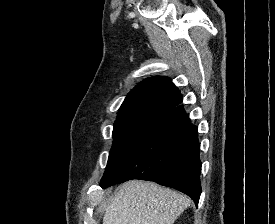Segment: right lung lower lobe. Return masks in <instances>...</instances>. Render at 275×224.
Returning <instances> with one entry per match:
<instances>
[{
    "label": "right lung lower lobe",
    "instance_id": "obj_1",
    "mask_svg": "<svg viewBox=\"0 0 275 224\" xmlns=\"http://www.w3.org/2000/svg\"><path fill=\"white\" fill-rule=\"evenodd\" d=\"M199 153L198 129L183 105H178L164 114L116 173L100 186L132 179L154 181L187 194L197 206L201 194Z\"/></svg>",
    "mask_w": 275,
    "mask_h": 224
}]
</instances>
